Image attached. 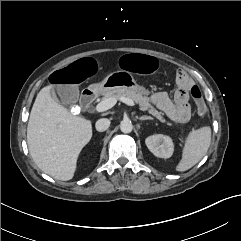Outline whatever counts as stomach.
I'll use <instances>...</instances> for the list:
<instances>
[{
	"mask_svg": "<svg viewBox=\"0 0 241 241\" xmlns=\"http://www.w3.org/2000/svg\"><path fill=\"white\" fill-rule=\"evenodd\" d=\"M118 88H128L143 94L149 93L144 87L136 83L131 72L122 70L114 71L108 74L101 82L90 85V89L94 93H106Z\"/></svg>",
	"mask_w": 241,
	"mask_h": 241,
	"instance_id": "stomach-1",
	"label": "stomach"
}]
</instances>
